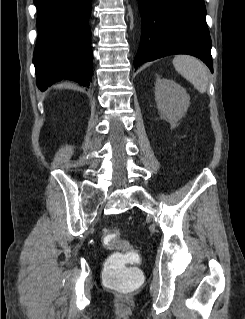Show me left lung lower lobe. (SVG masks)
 Returning a JSON list of instances; mask_svg holds the SVG:
<instances>
[{
  "instance_id": "obj_1",
  "label": "left lung lower lobe",
  "mask_w": 245,
  "mask_h": 319,
  "mask_svg": "<svg viewBox=\"0 0 245 319\" xmlns=\"http://www.w3.org/2000/svg\"><path fill=\"white\" fill-rule=\"evenodd\" d=\"M141 41L134 67L172 54L201 59L213 72L204 0H138Z\"/></svg>"
}]
</instances>
